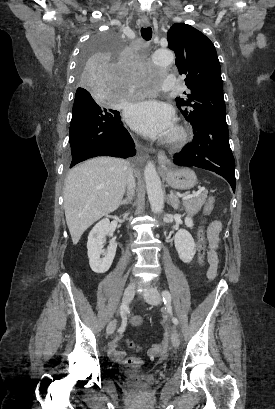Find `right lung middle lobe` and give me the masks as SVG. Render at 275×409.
<instances>
[{
  "instance_id": "obj_1",
  "label": "right lung middle lobe",
  "mask_w": 275,
  "mask_h": 409,
  "mask_svg": "<svg viewBox=\"0 0 275 409\" xmlns=\"http://www.w3.org/2000/svg\"><path fill=\"white\" fill-rule=\"evenodd\" d=\"M120 30H98L91 42H86L83 56L74 71L79 89L73 104L69 131L70 149L62 178L74 171V166L96 156L132 157L135 144L121 122V105L125 96H108L105 91H129L130 83L121 82V70H116V51L125 45ZM133 169H145V160H133Z\"/></svg>"
}]
</instances>
